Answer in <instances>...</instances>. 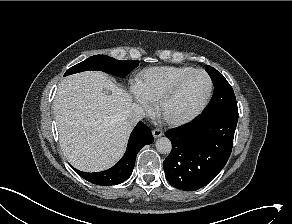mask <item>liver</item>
I'll use <instances>...</instances> for the list:
<instances>
[{"label":"liver","instance_id":"obj_1","mask_svg":"<svg viewBox=\"0 0 292 224\" xmlns=\"http://www.w3.org/2000/svg\"><path fill=\"white\" fill-rule=\"evenodd\" d=\"M131 105V95L104 73L87 71L61 81L54 114L69 163L84 172L113 166L122 157L133 128L127 118Z\"/></svg>","mask_w":292,"mask_h":224}]
</instances>
